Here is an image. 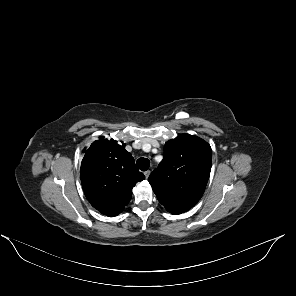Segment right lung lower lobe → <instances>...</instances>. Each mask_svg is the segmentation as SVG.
Here are the masks:
<instances>
[{"instance_id":"98d812e1","label":"right lung lower lobe","mask_w":296,"mask_h":296,"mask_svg":"<svg viewBox=\"0 0 296 296\" xmlns=\"http://www.w3.org/2000/svg\"><path fill=\"white\" fill-rule=\"evenodd\" d=\"M121 212H122V210H120V211H107V212L102 213V214L107 215V216H109V217H113V216L118 215V214L121 213Z\"/></svg>"}]
</instances>
